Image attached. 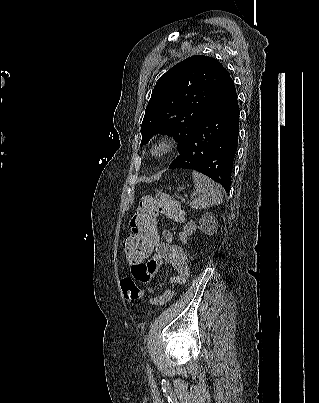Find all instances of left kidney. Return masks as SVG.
I'll return each mask as SVG.
<instances>
[{"label":"left kidney","mask_w":319,"mask_h":403,"mask_svg":"<svg viewBox=\"0 0 319 403\" xmlns=\"http://www.w3.org/2000/svg\"><path fill=\"white\" fill-rule=\"evenodd\" d=\"M209 222H215V217L211 213H206V214H204V216H202V218L200 219V222H199V224H200L199 228L201 230H203L205 233L209 232V230L207 229V226H206V224ZM196 228H197V225L192 220L190 222H188V224L183 226V231L179 233V239L181 240V242L186 244L188 237L193 234V232L196 230Z\"/></svg>","instance_id":"left-kidney-1"}]
</instances>
